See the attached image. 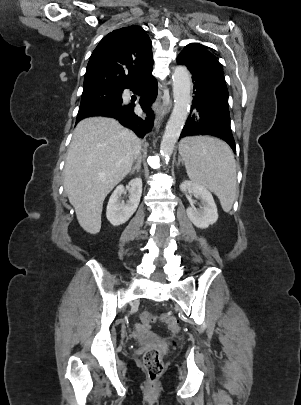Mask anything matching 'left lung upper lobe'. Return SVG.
<instances>
[{
  "label": "left lung upper lobe",
  "mask_w": 301,
  "mask_h": 405,
  "mask_svg": "<svg viewBox=\"0 0 301 405\" xmlns=\"http://www.w3.org/2000/svg\"><path fill=\"white\" fill-rule=\"evenodd\" d=\"M179 56L187 57L199 63L201 66L209 69L223 82H225L223 70L220 63L218 62L216 57L207 50L205 46L198 43H190L182 50Z\"/></svg>",
  "instance_id": "obj_1"
}]
</instances>
